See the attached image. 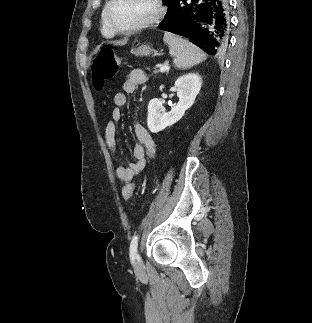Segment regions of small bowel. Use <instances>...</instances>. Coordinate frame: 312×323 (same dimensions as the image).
Wrapping results in <instances>:
<instances>
[{
  "mask_svg": "<svg viewBox=\"0 0 312 323\" xmlns=\"http://www.w3.org/2000/svg\"><path fill=\"white\" fill-rule=\"evenodd\" d=\"M146 82V74L141 69H133L129 72L122 91L114 94L113 101L116 107L112 109L104 131L105 144L111 155L117 152V124L122 120L121 107L127 103V94L134 92L138 86ZM134 131L137 138L132 152L134 161L129 165L117 164L115 166L116 177L124 183L131 182L136 175L140 174L146 166V156L153 157L155 152L154 142L148 131L139 123L135 124Z\"/></svg>",
  "mask_w": 312,
  "mask_h": 323,
  "instance_id": "obj_1",
  "label": "small bowel"
}]
</instances>
